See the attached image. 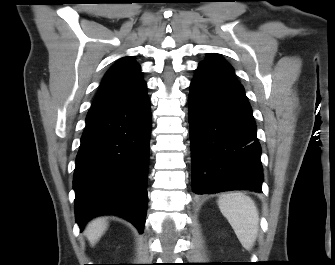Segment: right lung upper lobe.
<instances>
[{
  "label": "right lung upper lobe",
  "mask_w": 335,
  "mask_h": 265,
  "mask_svg": "<svg viewBox=\"0 0 335 265\" xmlns=\"http://www.w3.org/2000/svg\"><path fill=\"white\" fill-rule=\"evenodd\" d=\"M146 89L140 65L133 57L126 56L106 72L92 107L130 101L140 97Z\"/></svg>",
  "instance_id": "cb5924a9"
}]
</instances>
